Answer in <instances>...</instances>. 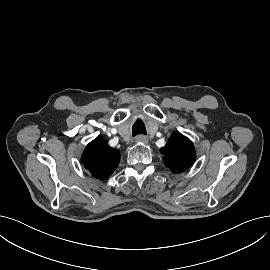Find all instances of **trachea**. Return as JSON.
Returning a JSON list of instances; mask_svg holds the SVG:
<instances>
[{
    "label": "trachea",
    "instance_id": "trachea-1",
    "mask_svg": "<svg viewBox=\"0 0 270 270\" xmlns=\"http://www.w3.org/2000/svg\"><path fill=\"white\" fill-rule=\"evenodd\" d=\"M138 134L146 135V127L141 120H137L132 127V136H136Z\"/></svg>",
    "mask_w": 270,
    "mask_h": 270
}]
</instances>
